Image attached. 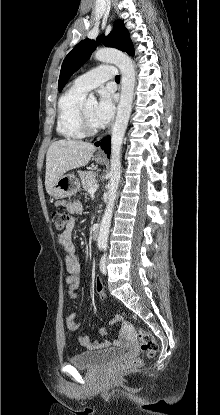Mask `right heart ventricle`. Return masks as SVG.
<instances>
[{"label":"right heart ventricle","instance_id":"e07e8e85","mask_svg":"<svg viewBox=\"0 0 220 415\" xmlns=\"http://www.w3.org/2000/svg\"><path fill=\"white\" fill-rule=\"evenodd\" d=\"M85 94L86 92L72 86L59 98L56 131L60 136L74 140L85 137L78 124V111Z\"/></svg>","mask_w":220,"mask_h":415}]
</instances>
